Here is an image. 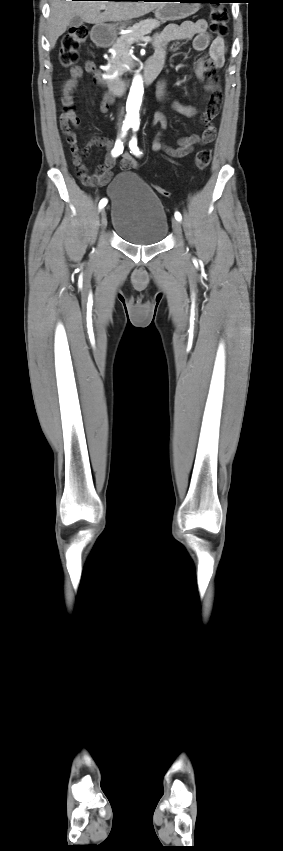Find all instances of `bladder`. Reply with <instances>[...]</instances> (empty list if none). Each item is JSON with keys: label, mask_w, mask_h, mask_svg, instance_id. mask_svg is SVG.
Wrapping results in <instances>:
<instances>
[{"label": "bladder", "mask_w": 283, "mask_h": 851, "mask_svg": "<svg viewBox=\"0 0 283 851\" xmlns=\"http://www.w3.org/2000/svg\"><path fill=\"white\" fill-rule=\"evenodd\" d=\"M114 231L124 241L140 246L161 242L168 218L156 192L137 174H118L108 187Z\"/></svg>", "instance_id": "31cf9c89"}]
</instances>
